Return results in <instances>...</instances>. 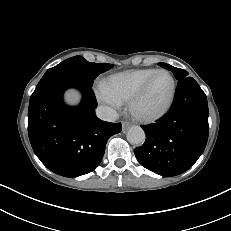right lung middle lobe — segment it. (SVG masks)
<instances>
[{"mask_svg":"<svg viewBox=\"0 0 231 231\" xmlns=\"http://www.w3.org/2000/svg\"><path fill=\"white\" fill-rule=\"evenodd\" d=\"M112 67V64L91 63L81 56H74L48 69L33 93L39 92L59 80H73L92 87L94 79Z\"/></svg>","mask_w":231,"mask_h":231,"instance_id":"obj_1","label":"right lung middle lobe"}]
</instances>
